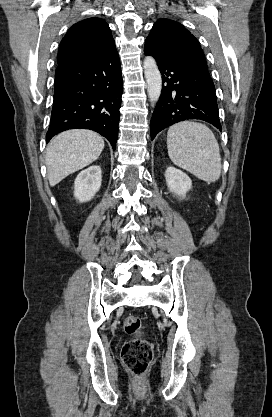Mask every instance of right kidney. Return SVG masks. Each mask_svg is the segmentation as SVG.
<instances>
[{
	"mask_svg": "<svg viewBox=\"0 0 272 417\" xmlns=\"http://www.w3.org/2000/svg\"><path fill=\"white\" fill-rule=\"evenodd\" d=\"M102 182L100 166L94 165L81 171L74 182V196L79 202L90 201L98 192Z\"/></svg>",
	"mask_w": 272,
	"mask_h": 417,
	"instance_id": "ca27d5eb",
	"label": "right kidney"
}]
</instances>
